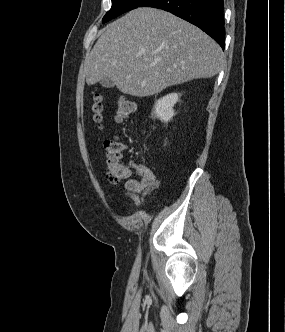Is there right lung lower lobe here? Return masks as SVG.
Returning a JSON list of instances; mask_svg holds the SVG:
<instances>
[{"mask_svg": "<svg viewBox=\"0 0 285 332\" xmlns=\"http://www.w3.org/2000/svg\"><path fill=\"white\" fill-rule=\"evenodd\" d=\"M141 7H154L196 25L224 49L223 0H146Z\"/></svg>", "mask_w": 285, "mask_h": 332, "instance_id": "right-lung-lower-lobe-1", "label": "right lung lower lobe"}]
</instances>
